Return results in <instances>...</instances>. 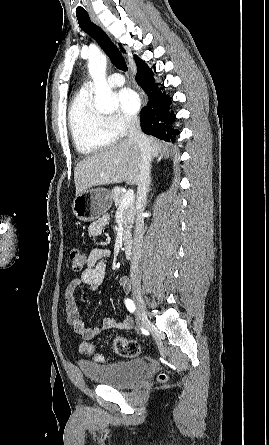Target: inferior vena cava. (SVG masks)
Instances as JSON below:
<instances>
[{"label":"inferior vena cava","instance_id":"1","mask_svg":"<svg viewBox=\"0 0 269 445\" xmlns=\"http://www.w3.org/2000/svg\"><path fill=\"white\" fill-rule=\"evenodd\" d=\"M128 140L137 143L141 152V172L140 179L137 184V201L139 205L136 226L134 232L132 258L130 267V277L133 281L140 279V263L143 254V235H144V221L141 216L144 211V203L146 201L147 193L150 185V152L147 144V137L143 134L140 128V121L137 117H129L127 119Z\"/></svg>","mask_w":269,"mask_h":445}]
</instances>
